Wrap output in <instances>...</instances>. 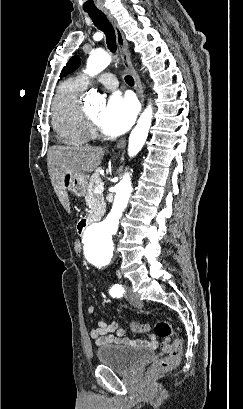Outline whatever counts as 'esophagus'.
Here are the masks:
<instances>
[{
    "label": "esophagus",
    "mask_w": 243,
    "mask_h": 409,
    "mask_svg": "<svg viewBox=\"0 0 243 409\" xmlns=\"http://www.w3.org/2000/svg\"><path fill=\"white\" fill-rule=\"evenodd\" d=\"M102 12L106 15L107 19L109 20V22L111 23V25L114 28V31H115V34H116V39H117V44H118V48H119V51H120V55H121L123 65H124L126 71H128L132 75V77L134 79L135 90H136L138 98H139V100L141 102V105L143 107L144 106L143 87H142L139 75L136 72V70L134 69V66L132 64L130 53H129V48H128V43H127V41H126V39L124 37V34H123L121 28L117 24L116 20L112 16V14L107 9H103ZM125 145H126V139L122 138V139H120L118 141L116 147L118 149H122V148L125 147Z\"/></svg>",
    "instance_id": "1"
}]
</instances>
